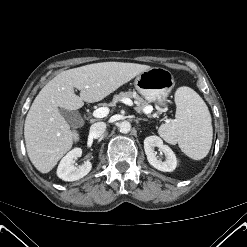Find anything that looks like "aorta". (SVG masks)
<instances>
[{
    "mask_svg": "<svg viewBox=\"0 0 247 247\" xmlns=\"http://www.w3.org/2000/svg\"><path fill=\"white\" fill-rule=\"evenodd\" d=\"M120 132L128 133L131 130V124L128 121H123L119 125Z\"/></svg>",
    "mask_w": 247,
    "mask_h": 247,
    "instance_id": "aorta-1",
    "label": "aorta"
}]
</instances>
